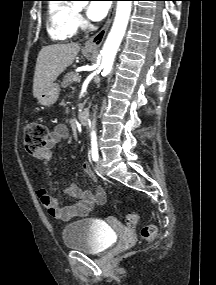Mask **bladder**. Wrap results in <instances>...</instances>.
I'll return each instance as SVG.
<instances>
[{"label":"bladder","instance_id":"obj_1","mask_svg":"<svg viewBox=\"0 0 216 285\" xmlns=\"http://www.w3.org/2000/svg\"><path fill=\"white\" fill-rule=\"evenodd\" d=\"M67 248L89 254H100L114 243L108 227L94 219L83 218L67 224L62 231Z\"/></svg>","mask_w":216,"mask_h":285}]
</instances>
